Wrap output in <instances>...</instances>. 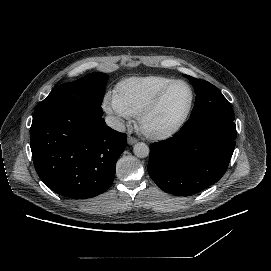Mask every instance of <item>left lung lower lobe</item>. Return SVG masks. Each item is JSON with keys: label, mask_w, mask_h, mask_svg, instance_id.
<instances>
[{"label": "left lung lower lobe", "mask_w": 271, "mask_h": 271, "mask_svg": "<svg viewBox=\"0 0 271 271\" xmlns=\"http://www.w3.org/2000/svg\"><path fill=\"white\" fill-rule=\"evenodd\" d=\"M234 115L190 118L171 138L150 145L148 173L165 192L187 196L216 183L235 148Z\"/></svg>", "instance_id": "left-lung-lower-lobe-1"}]
</instances>
